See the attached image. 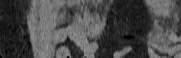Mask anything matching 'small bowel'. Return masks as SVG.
<instances>
[{"label": "small bowel", "mask_w": 181, "mask_h": 58, "mask_svg": "<svg viewBox=\"0 0 181 58\" xmlns=\"http://www.w3.org/2000/svg\"><path fill=\"white\" fill-rule=\"evenodd\" d=\"M164 18L171 20V21H177L178 16L173 12H165L163 14ZM65 17V10H62L59 14V21H62ZM153 25L155 28H157L167 39H169L171 42L174 43L173 46H168L164 43L159 42H152L150 39L148 40V43L150 46H152L154 49L166 53L169 55H177V58H181L180 51H181V44H179V41L181 40L176 34L164 29L158 20H155L153 22ZM65 36L73 37L76 41V43L82 48V50L85 53V58H93L94 54L99 50V45L97 43H91L88 44L86 41L79 37L73 36V31L71 29H66L64 31ZM133 47H125L117 52L114 53V58H123L125 57L129 52L133 51ZM59 54L66 55L67 49L65 47H60L58 50ZM147 53L151 56L152 53L147 49Z\"/></svg>", "instance_id": "small-bowel-1"}]
</instances>
